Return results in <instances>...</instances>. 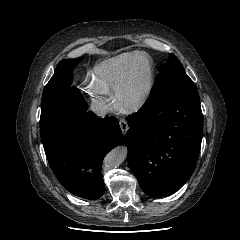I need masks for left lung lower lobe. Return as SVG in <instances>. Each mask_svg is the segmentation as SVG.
I'll list each match as a JSON object with an SVG mask.
<instances>
[{"label":"left lung lower lobe","instance_id":"left-lung-lower-lobe-1","mask_svg":"<svg viewBox=\"0 0 240 240\" xmlns=\"http://www.w3.org/2000/svg\"><path fill=\"white\" fill-rule=\"evenodd\" d=\"M129 166L149 196L179 190L192 175L201 148L203 115L197 90L166 91L127 118Z\"/></svg>","mask_w":240,"mask_h":240}]
</instances>
